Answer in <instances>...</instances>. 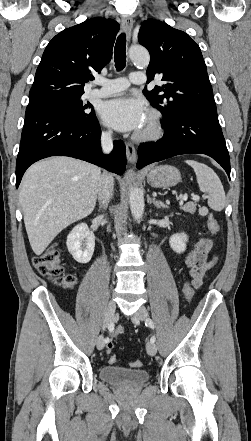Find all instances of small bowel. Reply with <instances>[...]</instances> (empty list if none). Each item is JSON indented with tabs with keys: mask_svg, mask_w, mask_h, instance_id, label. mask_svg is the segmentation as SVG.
<instances>
[{
	"mask_svg": "<svg viewBox=\"0 0 251 441\" xmlns=\"http://www.w3.org/2000/svg\"><path fill=\"white\" fill-rule=\"evenodd\" d=\"M212 249V241L209 238H200L191 245L185 263L190 269L193 283L196 287L200 286L206 277L208 270L215 264L216 257L209 258ZM122 332L119 327L116 334Z\"/></svg>",
	"mask_w": 251,
	"mask_h": 441,
	"instance_id": "c3829d8e",
	"label": "small bowel"
}]
</instances>
